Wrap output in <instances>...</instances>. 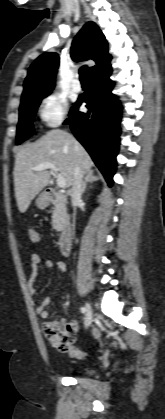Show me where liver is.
<instances>
[{
    "instance_id": "liver-1",
    "label": "liver",
    "mask_w": 165,
    "mask_h": 419,
    "mask_svg": "<svg viewBox=\"0 0 165 419\" xmlns=\"http://www.w3.org/2000/svg\"><path fill=\"white\" fill-rule=\"evenodd\" d=\"M45 162L56 166L67 187L72 185L77 165L83 174L93 166L85 148L64 130L48 131L38 141L24 146L15 156L13 172L15 196L21 213L26 212L35 196L49 184L51 170L34 171L36 165Z\"/></svg>"
}]
</instances>
